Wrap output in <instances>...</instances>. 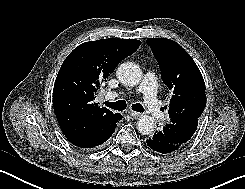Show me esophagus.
<instances>
[{"mask_svg":"<svg viewBox=\"0 0 245 189\" xmlns=\"http://www.w3.org/2000/svg\"><path fill=\"white\" fill-rule=\"evenodd\" d=\"M127 113L129 114V116L132 119H136V118L141 116V113H138V112H135V111H132V110H128Z\"/></svg>","mask_w":245,"mask_h":189,"instance_id":"34e87169","label":"esophagus"}]
</instances>
